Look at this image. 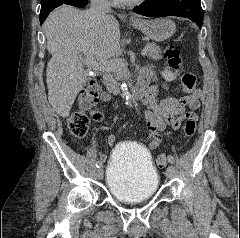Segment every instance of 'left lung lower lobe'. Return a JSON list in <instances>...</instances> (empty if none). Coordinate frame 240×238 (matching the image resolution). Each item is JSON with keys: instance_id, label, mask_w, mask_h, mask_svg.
Wrapping results in <instances>:
<instances>
[{"instance_id": "0a47b994", "label": "left lung lower lobe", "mask_w": 240, "mask_h": 238, "mask_svg": "<svg viewBox=\"0 0 240 238\" xmlns=\"http://www.w3.org/2000/svg\"><path fill=\"white\" fill-rule=\"evenodd\" d=\"M133 11L147 17L180 16L189 18L200 28L203 24L200 0H145Z\"/></svg>"}]
</instances>
